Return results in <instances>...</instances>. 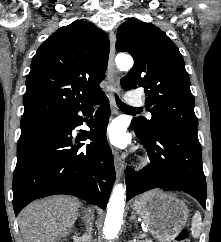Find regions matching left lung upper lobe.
<instances>
[{
	"instance_id": "left-lung-upper-lobe-1",
	"label": "left lung upper lobe",
	"mask_w": 221,
	"mask_h": 242,
	"mask_svg": "<svg viewBox=\"0 0 221 242\" xmlns=\"http://www.w3.org/2000/svg\"><path fill=\"white\" fill-rule=\"evenodd\" d=\"M116 49L134 59L133 68L121 79L123 89L143 87L152 114L151 120L140 118L134 125L144 133L159 126L197 131L190 79L173 41L155 25L129 19L117 30Z\"/></svg>"
}]
</instances>
